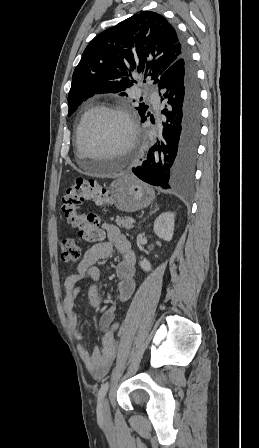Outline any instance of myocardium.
<instances>
[{
	"label": "myocardium",
	"mask_w": 259,
	"mask_h": 448,
	"mask_svg": "<svg viewBox=\"0 0 259 448\" xmlns=\"http://www.w3.org/2000/svg\"><path fill=\"white\" fill-rule=\"evenodd\" d=\"M112 113H116L119 114L120 116H122L129 128V139L128 141L121 146L120 148H118V154L122 155L125 154L127 152H130L133 147L136 144V140H137V134H138V130H137V125H136V121L130 111V109L121 103H115V104H110V105H105V106H101L99 107L98 110H96L82 125L80 133H79V138H78V143H79V150L76 154V159L77 162L76 163H82V152L83 150L88 149L87 147V135L88 132L90 130V128L103 116L108 115V114H112Z\"/></svg>",
	"instance_id": "f54148a6"
}]
</instances>
